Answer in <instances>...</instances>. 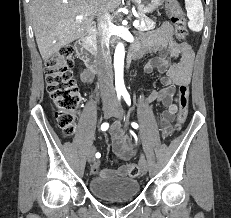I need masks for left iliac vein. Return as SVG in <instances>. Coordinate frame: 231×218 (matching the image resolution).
<instances>
[{
    "instance_id": "obj_1",
    "label": "left iliac vein",
    "mask_w": 231,
    "mask_h": 218,
    "mask_svg": "<svg viewBox=\"0 0 231 218\" xmlns=\"http://www.w3.org/2000/svg\"><path fill=\"white\" fill-rule=\"evenodd\" d=\"M123 115H124V111H123L122 107L117 105L114 109L113 116L116 118L122 119ZM139 166H140L141 172L143 174H146L148 171V165H147L144 154H141V156H140Z\"/></svg>"
}]
</instances>
